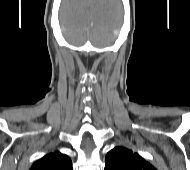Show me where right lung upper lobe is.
Here are the masks:
<instances>
[{
    "label": "right lung upper lobe",
    "mask_w": 190,
    "mask_h": 170,
    "mask_svg": "<svg viewBox=\"0 0 190 170\" xmlns=\"http://www.w3.org/2000/svg\"><path fill=\"white\" fill-rule=\"evenodd\" d=\"M30 170H73V168L67 155L55 151L36 161Z\"/></svg>",
    "instance_id": "obj_1"
}]
</instances>
